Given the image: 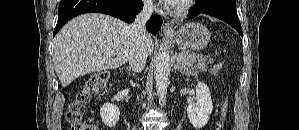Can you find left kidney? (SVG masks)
Returning a JSON list of instances; mask_svg holds the SVG:
<instances>
[{"label":"left kidney","instance_id":"1","mask_svg":"<svg viewBox=\"0 0 299 130\" xmlns=\"http://www.w3.org/2000/svg\"><path fill=\"white\" fill-rule=\"evenodd\" d=\"M212 110L213 104L209 88L203 82H198L196 103H190L187 107V115L193 127L196 129L204 127L209 121Z\"/></svg>","mask_w":299,"mask_h":130}]
</instances>
